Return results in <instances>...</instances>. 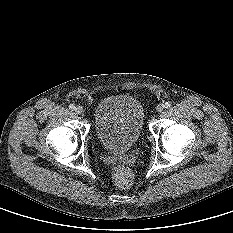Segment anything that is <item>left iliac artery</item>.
I'll return each instance as SVG.
<instances>
[{
	"label": "left iliac artery",
	"mask_w": 233,
	"mask_h": 233,
	"mask_svg": "<svg viewBox=\"0 0 233 233\" xmlns=\"http://www.w3.org/2000/svg\"><path fill=\"white\" fill-rule=\"evenodd\" d=\"M170 107H171V103H170V102H166V103H165V108L168 109V108H170Z\"/></svg>",
	"instance_id": "left-iliac-artery-1"
}]
</instances>
